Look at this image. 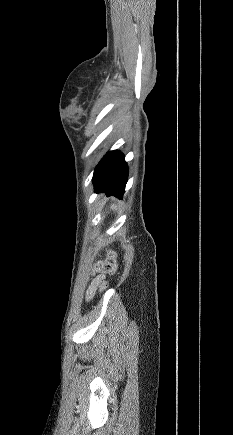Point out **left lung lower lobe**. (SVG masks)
I'll list each match as a JSON object with an SVG mask.
<instances>
[{"mask_svg": "<svg viewBox=\"0 0 233 435\" xmlns=\"http://www.w3.org/2000/svg\"><path fill=\"white\" fill-rule=\"evenodd\" d=\"M128 177V168L119 151L108 152L94 170L95 191H104L108 196L122 197Z\"/></svg>", "mask_w": 233, "mask_h": 435, "instance_id": "1", "label": "left lung lower lobe"}]
</instances>
